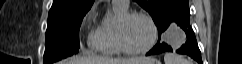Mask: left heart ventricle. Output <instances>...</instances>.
I'll list each match as a JSON object with an SVG mask.
<instances>
[{
    "label": "left heart ventricle",
    "mask_w": 242,
    "mask_h": 64,
    "mask_svg": "<svg viewBox=\"0 0 242 64\" xmlns=\"http://www.w3.org/2000/svg\"><path fill=\"white\" fill-rule=\"evenodd\" d=\"M151 33L149 23L140 17L130 19L124 27L125 42L133 49L145 47L150 41Z\"/></svg>",
    "instance_id": "1"
}]
</instances>
